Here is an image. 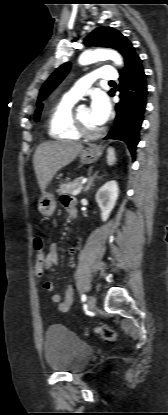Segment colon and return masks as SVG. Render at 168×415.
Segmentation results:
<instances>
[{
    "mask_svg": "<svg viewBox=\"0 0 168 415\" xmlns=\"http://www.w3.org/2000/svg\"><path fill=\"white\" fill-rule=\"evenodd\" d=\"M36 252V258L34 259V266L32 267L33 277L40 280L47 269V253L44 250V241L41 237H36L33 242ZM92 331L101 336L104 340L114 342L117 339V333L115 329L106 326L98 325L95 326ZM89 331L87 330L86 333Z\"/></svg>",
    "mask_w": 168,
    "mask_h": 415,
    "instance_id": "colon-1",
    "label": "colon"
}]
</instances>
